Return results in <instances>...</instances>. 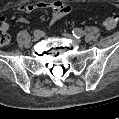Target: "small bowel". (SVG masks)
I'll return each instance as SVG.
<instances>
[{
  "label": "small bowel",
  "instance_id": "c3829d8e",
  "mask_svg": "<svg viewBox=\"0 0 119 119\" xmlns=\"http://www.w3.org/2000/svg\"><path fill=\"white\" fill-rule=\"evenodd\" d=\"M47 8L51 10L52 23L68 15L72 11L71 6L63 1L38 2L35 4H21L18 7V10L23 13H31L38 9H47ZM11 19L12 21L19 22V23L29 22V19L27 17L20 16V15H12ZM1 21H2L1 26L9 30V24L6 21V18L2 17Z\"/></svg>",
  "mask_w": 119,
  "mask_h": 119
}]
</instances>
